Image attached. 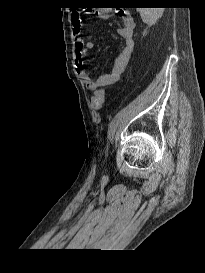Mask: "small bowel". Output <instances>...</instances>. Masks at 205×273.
I'll list each match as a JSON object with an SVG mask.
<instances>
[{
	"label": "small bowel",
	"mask_w": 205,
	"mask_h": 273,
	"mask_svg": "<svg viewBox=\"0 0 205 273\" xmlns=\"http://www.w3.org/2000/svg\"><path fill=\"white\" fill-rule=\"evenodd\" d=\"M112 15L109 9L100 10L98 17L101 19H108ZM119 17L122 21V26L118 29V34L123 38L124 44L120 52L114 59L112 70L109 73L102 74L96 80L83 69L84 57L94 49L95 44L93 41H85L81 27L83 23L82 15L75 12L72 14L73 34L75 36V53H76V67L79 75L84 81L87 89L92 93H97L101 89L116 83L122 73L124 72L134 48L133 33L135 22L133 17L126 12H120Z\"/></svg>",
	"instance_id": "small-bowel-1"
}]
</instances>
